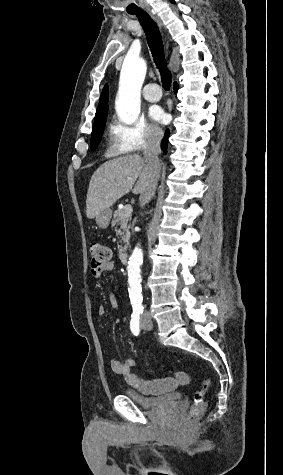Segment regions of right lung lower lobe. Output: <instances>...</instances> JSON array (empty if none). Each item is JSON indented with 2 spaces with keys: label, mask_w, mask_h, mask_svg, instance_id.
Masks as SVG:
<instances>
[{
  "label": "right lung lower lobe",
  "mask_w": 283,
  "mask_h": 475,
  "mask_svg": "<svg viewBox=\"0 0 283 475\" xmlns=\"http://www.w3.org/2000/svg\"><path fill=\"white\" fill-rule=\"evenodd\" d=\"M177 87H178V84L176 82H174V92L175 93L177 92V89H178ZM169 135H170V131L167 129L165 131V135H164V138H163L162 144H161V148H162V150L164 151L165 154H166V150H167Z\"/></svg>",
  "instance_id": "right-lung-lower-lobe-1"
}]
</instances>
